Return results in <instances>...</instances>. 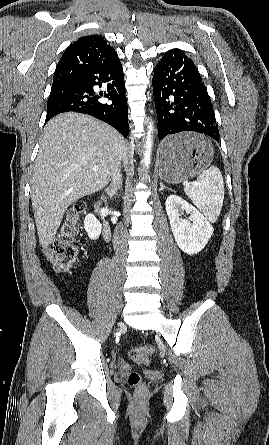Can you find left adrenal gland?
Returning <instances> with one entry per match:
<instances>
[{"label": "left adrenal gland", "instance_id": "obj_1", "mask_svg": "<svg viewBox=\"0 0 269 445\" xmlns=\"http://www.w3.org/2000/svg\"><path fill=\"white\" fill-rule=\"evenodd\" d=\"M164 189H167L168 191H173L171 188L166 187L162 182H160V189H159V191H162Z\"/></svg>", "mask_w": 269, "mask_h": 445}]
</instances>
